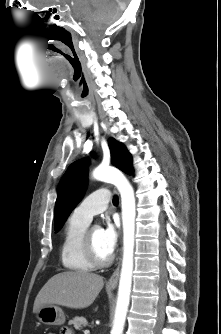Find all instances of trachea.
I'll list each match as a JSON object with an SVG mask.
<instances>
[{"mask_svg":"<svg viewBox=\"0 0 221 334\" xmlns=\"http://www.w3.org/2000/svg\"><path fill=\"white\" fill-rule=\"evenodd\" d=\"M113 203H114V204H118V196L115 195V196L113 197Z\"/></svg>","mask_w":221,"mask_h":334,"instance_id":"obj_1","label":"trachea"}]
</instances>
